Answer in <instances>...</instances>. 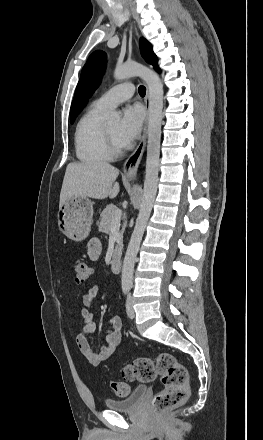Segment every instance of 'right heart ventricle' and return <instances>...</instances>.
Returning <instances> with one entry per match:
<instances>
[{
  "label": "right heart ventricle",
  "instance_id": "right-heart-ventricle-1",
  "mask_svg": "<svg viewBox=\"0 0 263 440\" xmlns=\"http://www.w3.org/2000/svg\"><path fill=\"white\" fill-rule=\"evenodd\" d=\"M106 108L91 104L77 123L75 151L77 158L86 163L104 162L111 158L107 151L103 126Z\"/></svg>",
  "mask_w": 263,
  "mask_h": 440
}]
</instances>
